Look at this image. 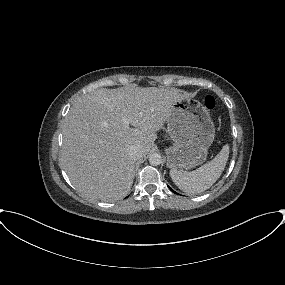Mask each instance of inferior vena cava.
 I'll return each mask as SVG.
<instances>
[{
  "mask_svg": "<svg viewBox=\"0 0 285 285\" xmlns=\"http://www.w3.org/2000/svg\"><path fill=\"white\" fill-rule=\"evenodd\" d=\"M129 155L134 160H138L143 156L141 149L134 145L129 148Z\"/></svg>",
  "mask_w": 285,
  "mask_h": 285,
  "instance_id": "obj_1",
  "label": "inferior vena cava"
}]
</instances>
